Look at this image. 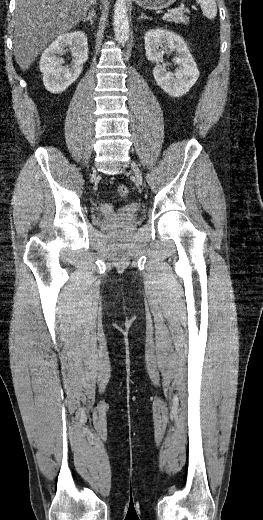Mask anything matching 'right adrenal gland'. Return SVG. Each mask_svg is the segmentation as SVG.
I'll use <instances>...</instances> for the list:
<instances>
[{
  "mask_svg": "<svg viewBox=\"0 0 263 520\" xmlns=\"http://www.w3.org/2000/svg\"><path fill=\"white\" fill-rule=\"evenodd\" d=\"M95 17H96L95 11L92 9V10L89 11L88 16L83 18L81 21L82 22H88L89 21L90 24L93 25Z\"/></svg>",
  "mask_w": 263,
  "mask_h": 520,
  "instance_id": "obj_1",
  "label": "right adrenal gland"
}]
</instances>
